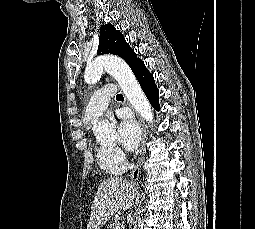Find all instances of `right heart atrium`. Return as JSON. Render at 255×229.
Listing matches in <instances>:
<instances>
[{"label": "right heart atrium", "mask_w": 255, "mask_h": 229, "mask_svg": "<svg viewBox=\"0 0 255 229\" xmlns=\"http://www.w3.org/2000/svg\"><path fill=\"white\" fill-rule=\"evenodd\" d=\"M113 152H114V154H115V156L117 158H120V159H124L125 158L124 153L122 152L121 149L115 147V148H113Z\"/></svg>", "instance_id": "d8ad5b80"}]
</instances>
